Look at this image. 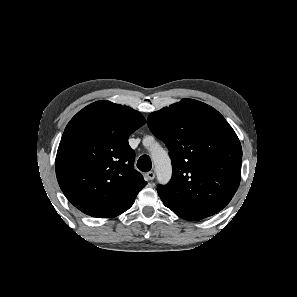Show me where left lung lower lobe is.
<instances>
[{
    "mask_svg": "<svg viewBox=\"0 0 297 297\" xmlns=\"http://www.w3.org/2000/svg\"><path fill=\"white\" fill-rule=\"evenodd\" d=\"M165 204V203H164ZM178 215V214H177ZM180 217H182L183 219H186V220H191V219H187V218H185V217H183V216H181V215H179Z\"/></svg>",
    "mask_w": 297,
    "mask_h": 297,
    "instance_id": "0a47b994",
    "label": "left lung lower lobe"
}]
</instances>
